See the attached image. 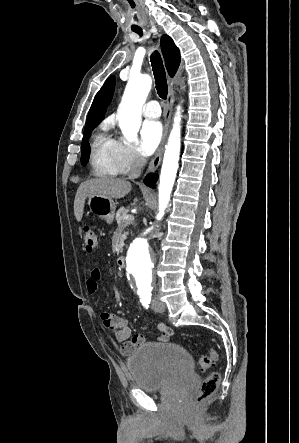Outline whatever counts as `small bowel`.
<instances>
[{
    "instance_id": "small-bowel-1",
    "label": "small bowel",
    "mask_w": 299,
    "mask_h": 443,
    "mask_svg": "<svg viewBox=\"0 0 299 443\" xmlns=\"http://www.w3.org/2000/svg\"><path fill=\"white\" fill-rule=\"evenodd\" d=\"M100 279V269H92L86 281V289L90 294L97 293ZM100 319L104 327L109 330L112 339L116 342L124 343L122 349L124 354L129 355L133 353L136 348L146 343L144 335H133L132 329L128 326V321L124 316L116 313L101 312ZM157 329L161 332L156 339L157 343H166L173 335V331L162 323L157 324Z\"/></svg>"
}]
</instances>
